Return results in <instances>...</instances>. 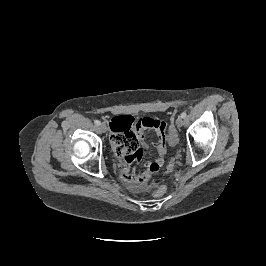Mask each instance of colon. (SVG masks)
Wrapping results in <instances>:
<instances>
[{
	"label": "colon",
	"instance_id": "colon-1",
	"mask_svg": "<svg viewBox=\"0 0 266 266\" xmlns=\"http://www.w3.org/2000/svg\"><path fill=\"white\" fill-rule=\"evenodd\" d=\"M171 141L173 143H175V141H176V137H175V134L174 133H171ZM166 191H167L166 186H164V185H158V186H156L154 188L152 194H153L154 197H162V196L165 195Z\"/></svg>",
	"mask_w": 266,
	"mask_h": 266
}]
</instances>
